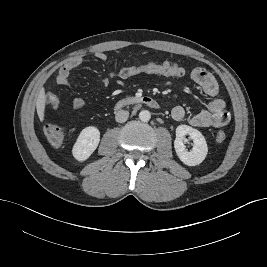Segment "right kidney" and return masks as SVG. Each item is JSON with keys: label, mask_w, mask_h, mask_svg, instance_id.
<instances>
[{"label": "right kidney", "mask_w": 267, "mask_h": 267, "mask_svg": "<svg viewBox=\"0 0 267 267\" xmlns=\"http://www.w3.org/2000/svg\"><path fill=\"white\" fill-rule=\"evenodd\" d=\"M99 141L100 132L96 127L88 126L84 128L73 146V157L79 162L87 160L96 150Z\"/></svg>", "instance_id": "ca27d5eb"}]
</instances>
